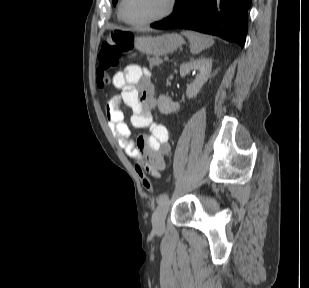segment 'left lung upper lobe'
Wrapping results in <instances>:
<instances>
[{
    "instance_id": "5c2ea615",
    "label": "left lung upper lobe",
    "mask_w": 309,
    "mask_h": 288,
    "mask_svg": "<svg viewBox=\"0 0 309 288\" xmlns=\"http://www.w3.org/2000/svg\"><path fill=\"white\" fill-rule=\"evenodd\" d=\"M118 0H112L113 4L115 5L117 3Z\"/></svg>"
}]
</instances>
